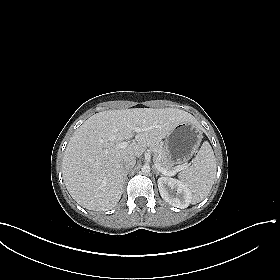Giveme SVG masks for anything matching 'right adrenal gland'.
I'll list each match as a JSON object with an SVG mask.
<instances>
[{
	"instance_id": "right-adrenal-gland-1",
	"label": "right adrenal gland",
	"mask_w": 280,
	"mask_h": 280,
	"mask_svg": "<svg viewBox=\"0 0 280 280\" xmlns=\"http://www.w3.org/2000/svg\"><path fill=\"white\" fill-rule=\"evenodd\" d=\"M128 171L127 172H125V174H124V178H123V183H125V181L127 180V175H128Z\"/></svg>"
}]
</instances>
